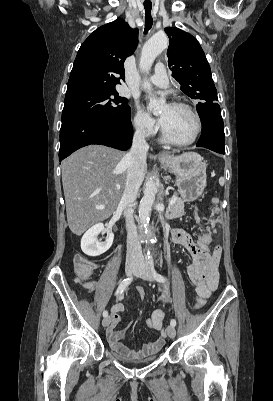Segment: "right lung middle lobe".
Masks as SVG:
<instances>
[{
	"mask_svg": "<svg viewBox=\"0 0 273 401\" xmlns=\"http://www.w3.org/2000/svg\"><path fill=\"white\" fill-rule=\"evenodd\" d=\"M128 100L118 95L116 90L86 91L66 95L62 111V122L88 117L131 125Z\"/></svg>",
	"mask_w": 273,
	"mask_h": 401,
	"instance_id": "1",
	"label": "right lung middle lobe"
}]
</instances>
